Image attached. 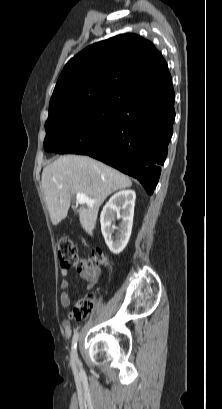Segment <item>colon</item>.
Listing matches in <instances>:
<instances>
[{"label": "colon", "instance_id": "5ec220e1", "mask_svg": "<svg viewBox=\"0 0 222 409\" xmlns=\"http://www.w3.org/2000/svg\"><path fill=\"white\" fill-rule=\"evenodd\" d=\"M58 258L62 269L68 270L71 267L92 268L94 266H110L108 258L100 250H92L85 261H82L78 254L75 243L68 238L58 240ZM94 306V297L91 294H85L80 297L74 304L72 316L80 320L87 317Z\"/></svg>", "mask_w": 222, "mask_h": 409}]
</instances>
